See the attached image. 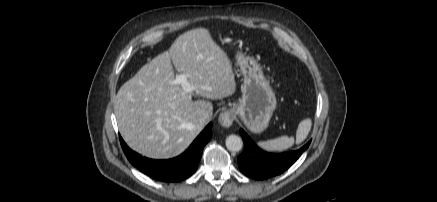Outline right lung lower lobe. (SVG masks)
Masks as SVG:
<instances>
[{
    "label": "right lung lower lobe",
    "instance_id": "1",
    "mask_svg": "<svg viewBox=\"0 0 437 202\" xmlns=\"http://www.w3.org/2000/svg\"><path fill=\"white\" fill-rule=\"evenodd\" d=\"M211 136L212 124L210 123L184 153L168 160H153L142 157L131 150L121 137L120 142L130 163L141 172L159 181L178 182L190 177L196 171L203 148Z\"/></svg>",
    "mask_w": 437,
    "mask_h": 202
}]
</instances>
